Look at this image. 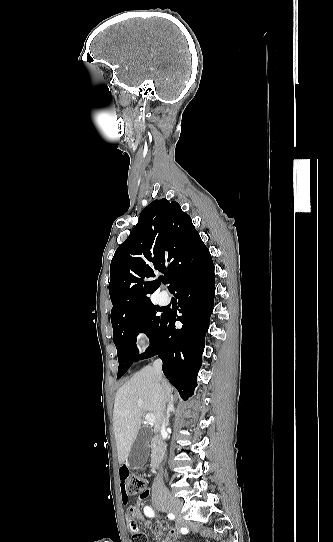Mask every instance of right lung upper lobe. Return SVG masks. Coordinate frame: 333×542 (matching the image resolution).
<instances>
[{"label":"right lung upper lobe","instance_id":"1","mask_svg":"<svg viewBox=\"0 0 333 542\" xmlns=\"http://www.w3.org/2000/svg\"><path fill=\"white\" fill-rule=\"evenodd\" d=\"M200 239L191 217L177 202L163 198L145 207L111 261V320L152 303L150 295L160 285L157 280L148 281L155 277L154 270L165 273L171 286L176 277V253Z\"/></svg>","mask_w":333,"mask_h":542}]
</instances>
